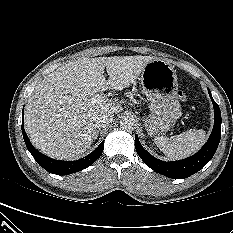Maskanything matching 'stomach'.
I'll list each match as a JSON object with an SVG mask.
<instances>
[{
  "label": "stomach",
  "instance_id": "1",
  "mask_svg": "<svg viewBox=\"0 0 233 233\" xmlns=\"http://www.w3.org/2000/svg\"><path fill=\"white\" fill-rule=\"evenodd\" d=\"M141 84L149 102L150 115L144 120L148 134L154 136L169 131L182 114L173 65L153 59L141 73Z\"/></svg>",
  "mask_w": 233,
  "mask_h": 233
}]
</instances>
